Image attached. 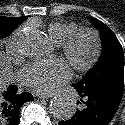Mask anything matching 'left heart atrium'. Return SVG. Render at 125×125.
<instances>
[{
    "label": "left heart atrium",
    "instance_id": "obj_1",
    "mask_svg": "<svg viewBox=\"0 0 125 125\" xmlns=\"http://www.w3.org/2000/svg\"><path fill=\"white\" fill-rule=\"evenodd\" d=\"M71 73L61 60L37 61L24 67L21 80L39 93H50L70 79Z\"/></svg>",
    "mask_w": 125,
    "mask_h": 125
}]
</instances>
